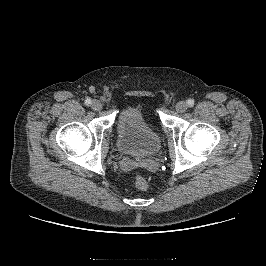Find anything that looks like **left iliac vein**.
Instances as JSON below:
<instances>
[{"label": "left iliac vein", "mask_w": 266, "mask_h": 266, "mask_svg": "<svg viewBox=\"0 0 266 266\" xmlns=\"http://www.w3.org/2000/svg\"><path fill=\"white\" fill-rule=\"evenodd\" d=\"M176 111L177 112H185L188 109V104L185 101H180L176 104Z\"/></svg>", "instance_id": "obj_1"}]
</instances>
